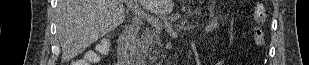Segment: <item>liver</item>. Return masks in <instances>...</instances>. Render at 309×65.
<instances>
[{"instance_id": "liver-1", "label": "liver", "mask_w": 309, "mask_h": 65, "mask_svg": "<svg viewBox=\"0 0 309 65\" xmlns=\"http://www.w3.org/2000/svg\"><path fill=\"white\" fill-rule=\"evenodd\" d=\"M133 0H58L57 34L62 59L70 60L82 53L125 19L124 2ZM143 9L157 15L172 11L173 0H137Z\"/></svg>"}]
</instances>
